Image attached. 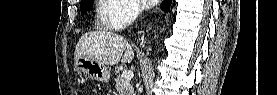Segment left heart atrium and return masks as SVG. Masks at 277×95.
I'll use <instances>...</instances> for the list:
<instances>
[{
  "mask_svg": "<svg viewBox=\"0 0 277 95\" xmlns=\"http://www.w3.org/2000/svg\"><path fill=\"white\" fill-rule=\"evenodd\" d=\"M138 3H140L141 6L150 8L153 7L156 4V0H137Z\"/></svg>",
  "mask_w": 277,
  "mask_h": 95,
  "instance_id": "39dd6f15",
  "label": "left heart atrium"
}]
</instances>
